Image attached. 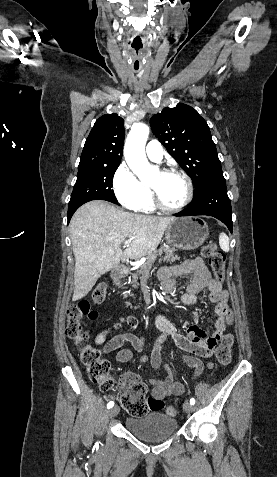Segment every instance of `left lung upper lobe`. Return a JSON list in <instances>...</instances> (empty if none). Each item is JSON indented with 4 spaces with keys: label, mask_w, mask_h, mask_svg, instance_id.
<instances>
[{
    "label": "left lung upper lobe",
    "mask_w": 277,
    "mask_h": 477,
    "mask_svg": "<svg viewBox=\"0 0 277 477\" xmlns=\"http://www.w3.org/2000/svg\"><path fill=\"white\" fill-rule=\"evenodd\" d=\"M155 136L191 177L197 190L212 173L222 171L206 121L183 103L151 118Z\"/></svg>",
    "instance_id": "1"
}]
</instances>
